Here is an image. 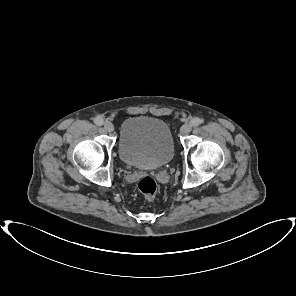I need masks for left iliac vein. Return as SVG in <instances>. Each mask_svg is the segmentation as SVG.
Returning a JSON list of instances; mask_svg holds the SVG:
<instances>
[{"label": "left iliac vein", "mask_w": 296, "mask_h": 296, "mask_svg": "<svg viewBox=\"0 0 296 296\" xmlns=\"http://www.w3.org/2000/svg\"><path fill=\"white\" fill-rule=\"evenodd\" d=\"M191 130H192V125H191L190 123H185V124L181 127L180 132H181V134L186 135V134H188Z\"/></svg>", "instance_id": "4c4485c4"}]
</instances>
